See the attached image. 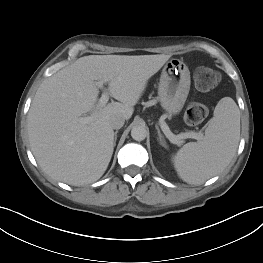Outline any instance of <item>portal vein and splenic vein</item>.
Here are the masks:
<instances>
[{"label":"portal vein and splenic vein","mask_w":263,"mask_h":263,"mask_svg":"<svg viewBox=\"0 0 263 263\" xmlns=\"http://www.w3.org/2000/svg\"><path fill=\"white\" fill-rule=\"evenodd\" d=\"M96 85L98 86V88L103 89V81L96 82ZM108 100H109V94H108V92L104 91L102 93V96L100 97V99L98 101L97 108L104 107L107 104ZM91 120H92L91 116L81 117L80 118V121L83 122V123H89ZM160 127H161L163 133L166 135V137L173 144H177V142L179 140L185 139V138H193V139H196V140H201L202 139L201 134L193 132V131L186 132V133L179 134V135H175V134H173L170 131L169 127L167 126V124L165 122H160Z\"/></svg>","instance_id":"obj_1"}]
</instances>
